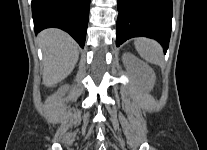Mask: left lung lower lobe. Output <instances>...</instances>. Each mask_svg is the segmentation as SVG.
Instances as JSON below:
<instances>
[{
	"mask_svg": "<svg viewBox=\"0 0 207 150\" xmlns=\"http://www.w3.org/2000/svg\"><path fill=\"white\" fill-rule=\"evenodd\" d=\"M116 45L145 36L157 40L166 52L172 28V0H118Z\"/></svg>",
	"mask_w": 207,
	"mask_h": 150,
	"instance_id": "0a47b994",
	"label": "left lung lower lobe"
}]
</instances>
